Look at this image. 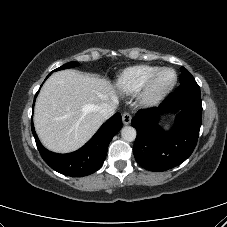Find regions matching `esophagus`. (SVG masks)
<instances>
[{
	"label": "esophagus",
	"instance_id": "1",
	"mask_svg": "<svg viewBox=\"0 0 227 227\" xmlns=\"http://www.w3.org/2000/svg\"><path fill=\"white\" fill-rule=\"evenodd\" d=\"M122 121L124 125H128L131 122V115L128 112L123 113Z\"/></svg>",
	"mask_w": 227,
	"mask_h": 227
}]
</instances>
